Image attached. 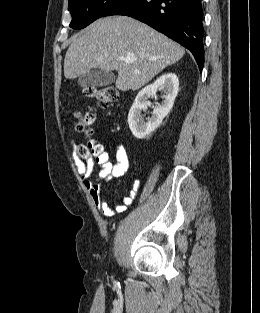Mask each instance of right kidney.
I'll list each match as a JSON object with an SVG mask.
<instances>
[{
    "instance_id": "ca27d5eb",
    "label": "right kidney",
    "mask_w": 260,
    "mask_h": 313,
    "mask_svg": "<svg viewBox=\"0 0 260 313\" xmlns=\"http://www.w3.org/2000/svg\"><path fill=\"white\" fill-rule=\"evenodd\" d=\"M158 90L163 92V101L161 105L154 108L151 118L145 122L141 112L150 105L148 99L156 96ZM178 90V77L174 73L168 72L138 93L128 114L129 128L137 139H145L160 126L163 119L171 111Z\"/></svg>"
}]
</instances>
